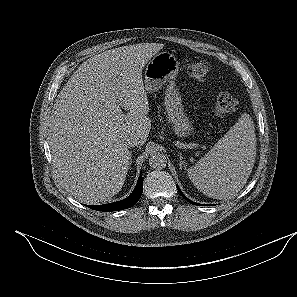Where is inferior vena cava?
<instances>
[{
	"instance_id": "obj_1",
	"label": "inferior vena cava",
	"mask_w": 297,
	"mask_h": 297,
	"mask_svg": "<svg viewBox=\"0 0 297 297\" xmlns=\"http://www.w3.org/2000/svg\"><path fill=\"white\" fill-rule=\"evenodd\" d=\"M125 143L128 147H135L140 144V138L135 134H131L126 138Z\"/></svg>"
}]
</instances>
